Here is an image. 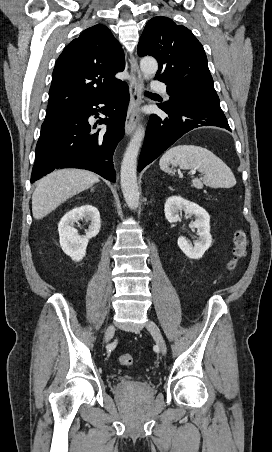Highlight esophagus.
I'll return each mask as SVG.
<instances>
[{"mask_svg":"<svg viewBox=\"0 0 272 452\" xmlns=\"http://www.w3.org/2000/svg\"><path fill=\"white\" fill-rule=\"evenodd\" d=\"M129 63H130L131 81L129 85L130 104L125 122V132L127 135L132 134L136 128L138 120V109L142 102V88H143L142 74L139 69L136 58L134 56H131L129 59Z\"/></svg>","mask_w":272,"mask_h":452,"instance_id":"34e87169","label":"esophagus"}]
</instances>
